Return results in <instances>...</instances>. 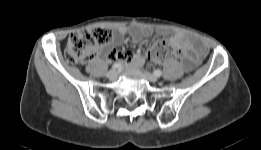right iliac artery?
Returning a JSON list of instances; mask_svg holds the SVG:
<instances>
[{
    "mask_svg": "<svg viewBox=\"0 0 261 150\" xmlns=\"http://www.w3.org/2000/svg\"><path fill=\"white\" fill-rule=\"evenodd\" d=\"M121 67H122L121 63H114V64L112 65V68H113V69H118V68H121Z\"/></svg>",
    "mask_w": 261,
    "mask_h": 150,
    "instance_id": "right-iliac-artery-1",
    "label": "right iliac artery"
}]
</instances>
